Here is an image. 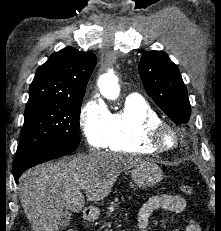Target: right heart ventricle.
I'll list each match as a JSON object with an SVG mask.
<instances>
[{
	"mask_svg": "<svg viewBox=\"0 0 221 231\" xmlns=\"http://www.w3.org/2000/svg\"><path fill=\"white\" fill-rule=\"evenodd\" d=\"M160 117L150 104L140 96H128L121 108L111 114L105 148L111 151L153 154L145 142L146 125Z\"/></svg>",
	"mask_w": 221,
	"mask_h": 231,
	"instance_id": "e07e8e85",
	"label": "right heart ventricle"
}]
</instances>
